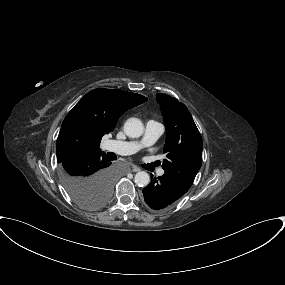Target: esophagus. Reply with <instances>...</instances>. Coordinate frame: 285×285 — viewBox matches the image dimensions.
I'll return each mask as SVG.
<instances>
[{
  "mask_svg": "<svg viewBox=\"0 0 285 285\" xmlns=\"http://www.w3.org/2000/svg\"><path fill=\"white\" fill-rule=\"evenodd\" d=\"M141 169L139 168V167H137V166H135V165H133L132 166V171L133 172H138V171H140Z\"/></svg>",
  "mask_w": 285,
  "mask_h": 285,
  "instance_id": "obj_1",
  "label": "esophagus"
}]
</instances>
